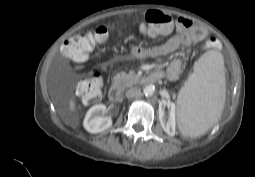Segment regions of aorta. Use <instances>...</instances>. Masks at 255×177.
Returning <instances> with one entry per match:
<instances>
[{"mask_svg": "<svg viewBox=\"0 0 255 177\" xmlns=\"http://www.w3.org/2000/svg\"><path fill=\"white\" fill-rule=\"evenodd\" d=\"M143 93L145 96H152L155 93V86L148 84L143 88Z\"/></svg>", "mask_w": 255, "mask_h": 177, "instance_id": "aorta-1", "label": "aorta"}]
</instances>
